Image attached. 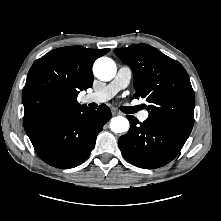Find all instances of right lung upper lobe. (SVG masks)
<instances>
[{"mask_svg": "<svg viewBox=\"0 0 221 221\" xmlns=\"http://www.w3.org/2000/svg\"><path fill=\"white\" fill-rule=\"evenodd\" d=\"M109 50L70 46L52 50L36 60L22 92L24 128L81 106L77 96L93 84L92 65Z\"/></svg>", "mask_w": 221, "mask_h": 221, "instance_id": "1", "label": "right lung upper lobe"}]
</instances>
